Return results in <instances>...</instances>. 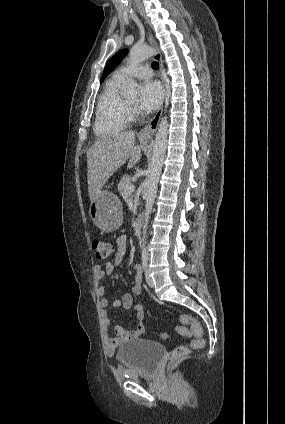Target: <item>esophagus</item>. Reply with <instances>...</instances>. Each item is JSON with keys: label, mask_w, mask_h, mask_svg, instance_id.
<instances>
[{"label": "esophagus", "mask_w": 285, "mask_h": 424, "mask_svg": "<svg viewBox=\"0 0 285 424\" xmlns=\"http://www.w3.org/2000/svg\"><path fill=\"white\" fill-rule=\"evenodd\" d=\"M148 42L151 45V47L153 48L154 51V59L158 62L159 64V70H160V77L162 80V84H163V91H164V96L166 94V87H165V81H164V77H163V63H162V59H161V55L160 52L158 50L157 44L153 38V36L148 33ZM162 112H163V107H161L159 109V111L155 114V116L148 122V124L140 131L139 135L141 137H150L152 136L159 125L161 116H162Z\"/></svg>", "instance_id": "1"}]
</instances>
